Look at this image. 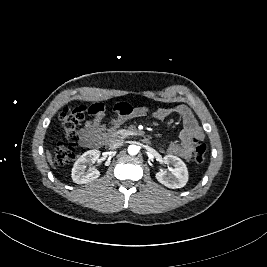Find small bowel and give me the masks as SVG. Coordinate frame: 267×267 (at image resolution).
I'll return each instance as SVG.
<instances>
[{"mask_svg": "<svg viewBox=\"0 0 267 267\" xmlns=\"http://www.w3.org/2000/svg\"><path fill=\"white\" fill-rule=\"evenodd\" d=\"M92 108L91 119L86 121L79 131V142L81 146L88 148L101 145L110 131L117 129L127 120L143 117L149 113L147 107H132L129 103L121 102L115 106L116 115L108 124H105L106 112L104 105L98 103L94 104ZM172 114L180 116L183 128L179 133V140L168 144L162 149V152L167 155L189 159L195 145L203 140V131L191 110L185 105L160 107L153 112V116L161 121L167 119Z\"/></svg>", "mask_w": 267, "mask_h": 267, "instance_id": "obj_1", "label": "small bowel"}]
</instances>
